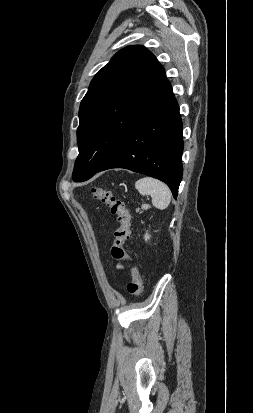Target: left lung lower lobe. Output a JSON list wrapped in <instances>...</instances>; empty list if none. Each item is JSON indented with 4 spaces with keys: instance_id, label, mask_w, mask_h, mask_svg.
I'll return each mask as SVG.
<instances>
[{
    "instance_id": "left-lung-lower-lobe-1",
    "label": "left lung lower lobe",
    "mask_w": 253,
    "mask_h": 413,
    "mask_svg": "<svg viewBox=\"0 0 253 413\" xmlns=\"http://www.w3.org/2000/svg\"><path fill=\"white\" fill-rule=\"evenodd\" d=\"M182 153V121L178 102L169 85L95 173L111 168L142 173L165 182L176 198L183 174Z\"/></svg>"
}]
</instances>
